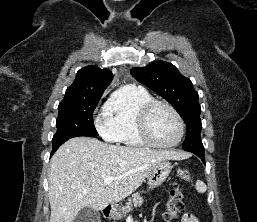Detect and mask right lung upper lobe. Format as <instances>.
<instances>
[{
  "label": "right lung upper lobe",
  "instance_id": "1",
  "mask_svg": "<svg viewBox=\"0 0 257 222\" xmlns=\"http://www.w3.org/2000/svg\"><path fill=\"white\" fill-rule=\"evenodd\" d=\"M112 79L113 74L107 69H100L95 65L83 67L67 88L63 100L101 96Z\"/></svg>",
  "mask_w": 257,
  "mask_h": 222
}]
</instances>
